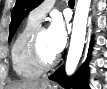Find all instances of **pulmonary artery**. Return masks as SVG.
I'll return each mask as SVG.
<instances>
[{
    "label": "pulmonary artery",
    "mask_w": 107,
    "mask_h": 89,
    "mask_svg": "<svg viewBox=\"0 0 107 89\" xmlns=\"http://www.w3.org/2000/svg\"><path fill=\"white\" fill-rule=\"evenodd\" d=\"M53 4H54V0H47L43 2L42 4H40L38 7H36L30 12L29 17L34 21L40 23L47 15V13L50 11Z\"/></svg>",
    "instance_id": "pulmonary-artery-1"
}]
</instances>
